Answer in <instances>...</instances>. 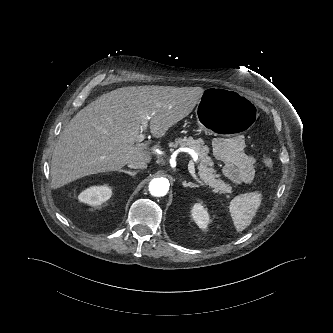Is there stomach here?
<instances>
[{"mask_svg": "<svg viewBox=\"0 0 333 333\" xmlns=\"http://www.w3.org/2000/svg\"><path fill=\"white\" fill-rule=\"evenodd\" d=\"M257 116L254 102L245 94L225 89H208L199 99L196 118L198 134L210 132L218 136L242 133Z\"/></svg>", "mask_w": 333, "mask_h": 333, "instance_id": "0dacf381", "label": "stomach"}]
</instances>
